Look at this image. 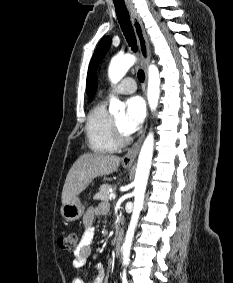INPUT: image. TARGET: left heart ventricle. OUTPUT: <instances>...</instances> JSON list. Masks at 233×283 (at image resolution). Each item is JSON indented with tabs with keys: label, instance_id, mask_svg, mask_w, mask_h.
Segmentation results:
<instances>
[{
	"label": "left heart ventricle",
	"instance_id": "b2bd125f",
	"mask_svg": "<svg viewBox=\"0 0 233 283\" xmlns=\"http://www.w3.org/2000/svg\"><path fill=\"white\" fill-rule=\"evenodd\" d=\"M124 117H125L124 114H119V115L115 116V120H116L117 124L119 125V127L121 128V130L124 133H126L125 130H124V127H123Z\"/></svg>",
	"mask_w": 233,
	"mask_h": 283
}]
</instances>
